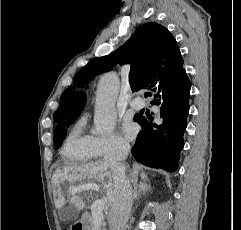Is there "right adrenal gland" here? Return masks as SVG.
<instances>
[{"mask_svg":"<svg viewBox=\"0 0 241 230\" xmlns=\"http://www.w3.org/2000/svg\"><path fill=\"white\" fill-rule=\"evenodd\" d=\"M148 190H150V186L145 184V183H142L140 186H139V191H142L143 194H145Z\"/></svg>","mask_w":241,"mask_h":230,"instance_id":"obj_1","label":"right adrenal gland"}]
</instances>
